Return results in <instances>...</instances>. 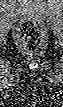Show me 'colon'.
Wrapping results in <instances>:
<instances>
[{
	"label": "colon",
	"instance_id": "obj_1",
	"mask_svg": "<svg viewBox=\"0 0 63 107\" xmlns=\"http://www.w3.org/2000/svg\"><path fill=\"white\" fill-rule=\"evenodd\" d=\"M46 36L44 25L40 21L25 22L17 29L16 42L28 52H35Z\"/></svg>",
	"mask_w": 63,
	"mask_h": 107
}]
</instances>
